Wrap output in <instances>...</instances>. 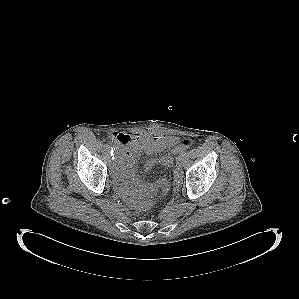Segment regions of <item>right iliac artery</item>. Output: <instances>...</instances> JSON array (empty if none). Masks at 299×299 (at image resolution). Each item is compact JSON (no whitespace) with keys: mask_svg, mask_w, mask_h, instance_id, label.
I'll use <instances>...</instances> for the list:
<instances>
[{"mask_svg":"<svg viewBox=\"0 0 299 299\" xmlns=\"http://www.w3.org/2000/svg\"><path fill=\"white\" fill-rule=\"evenodd\" d=\"M114 150H115V149H113V148H112V150H111V155H113V159H114Z\"/></svg>","mask_w":299,"mask_h":299,"instance_id":"82829eb1","label":"right iliac artery"}]
</instances>
